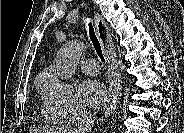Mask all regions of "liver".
<instances>
[{"label": "liver", "mask_w": 184, "mask_h": 133, "mask_svg": "<svg viewBox=\"0 0 184 133\" xmlns=\"http://www.w3.org/2000/svg\"><path fill=\"white\" fill-rule=\"evenodd\" d=\"M35 133H74L71 128L68 127H54V128H49V127H43L41 129H36L34 130Z\"/></svg>", "instance_id": "1"}]
</instances>
